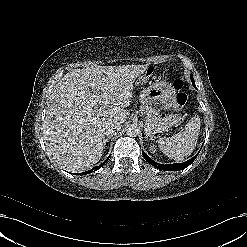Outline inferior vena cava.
<instances>
[{"mask_svg": "<svg viewBox=\"0 0 247 247\" xmlns=\"http://www.w3.org/2000/svg\"><path fill=\"white\" fill-rule=\"evenodd\" d=\"M121 126V123L117 121L108 122L104 127L105 135L113 136L116 132L120 131Z\"/></svg>", "mask_w": 247, "mask_h": 247, "instance_id": "1", "label": "inferior vena cava"}]
</instances>
